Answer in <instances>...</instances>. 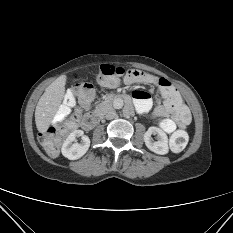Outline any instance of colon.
Listing matches in <instances>:
<instances>
[{
  "label": "colon",
  "mask_w": 233,
  "mask_h": 233,
  "mask_svg": "<svg viewBox=\"0 0 233 233\" xmlns=\"http://www.w3.org/2000/svg\"><path fill=\"white\" fill-rule=\"evenodd\" d=\"M144 72L116 67L110 64H101L98 67L97 81L99 84L107 87H115L125 79L134 80ZM158 85L163 94L171 101L173 105L178 102V91L170 81L159 78ZM93 85L88 81H80L67 93L64 103L57 112L52 126L40 136V141L47 152L55 155L62 138L74 129L76 115H71V109L76 100L81 102L90 99L93 96ZM179 114H176L178 117ZM188 134L179 130L170 138V147L175 152L182 151L188 144Z\"/></svg>",
  "instance_id": "obj_1"
}]
</instances>
